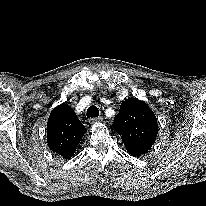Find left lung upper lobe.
<instances>
[{"instance_id":"obj_1","label":"left lung upper lobe","mask_w":206,"mask_h":206,"mask_svg":"<svg viewBox=\"0 0 206 206\" xmlns=\"http://www.w3.org/2000/svg\"><path fill=\"white\" fill-rule=\"evenodd\" d=\"M129 153L144 154L154 144L158 134L155 114L143 101L126 99L113 122Z\"/></svg>"}]
</instances>
